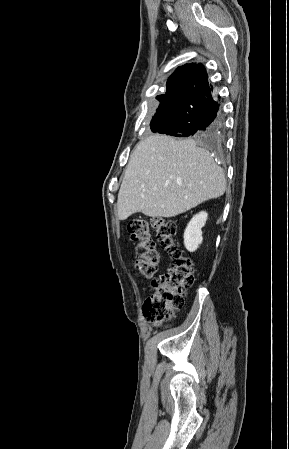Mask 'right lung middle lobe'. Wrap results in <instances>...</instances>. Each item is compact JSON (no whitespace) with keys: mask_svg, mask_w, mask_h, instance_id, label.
<instances>
[{"mask_svg":"<svg viewBox=\"0 0 289 449\" xmlns=\"http://www.w3.org/2000/svg\"><path fill=\"white\" fill-rule=\"evenodd\" d=\"M157 99L160 101V105L156 110V114L152 118L150 126L153 132L159 133L168 123L171 122L172 111L167 93L165 95L158 96Z\"/></svg>","mask_w":289,"mask_h":449,"instance_id":"1","label":"right lung middle lobe"}]
</instances>
